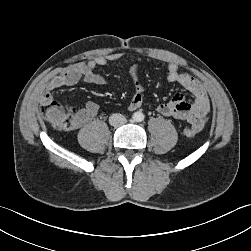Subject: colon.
<instances>
[{
	"label": "colon",
	"mask_w": 251,
	"mask_h": 251,
	"mask_svg": "<svg viewBox=\"0 0 251 251\" xmlns=\"http://www.w3.org/2000/svg\"><path fill=\"white\" fill-rule=\"evenodd\" d=\"M39 114L47 117L53 126L59 130L68 131L76 128V111L73 109H63L55 102L42 104L39 108ZM184 133L187 137H193L195 130L193 128H186Z\"/></svg>",
	"instance_id": "colon-1"
}]
</instances>
